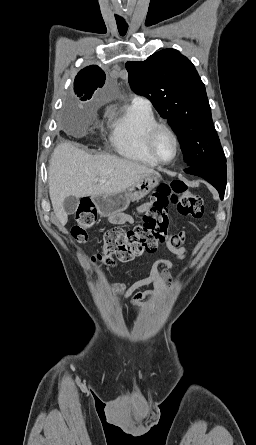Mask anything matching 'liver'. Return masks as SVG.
I'll list each match as a JSON object with an SVG mask.
<instances>
[{
    "label": "liver",
    "instance_id": "obj_1",
    "mask_svg": "<svg viewBox=\"0 0 256 445\" xmlns=\"http://www.w3.org/2000/svg\"><path fill=\"white\" fill-rule=\"evenodd\" d=\"M48 175L54 213L60 223L65 225L68 218L63 201L66 197L116 194L124 192L145 177L159 174L144 165L116 156L88 154L65 142L54 149Z\"/></svg>",
    "mask_w": 256,
    "mask_h": 445
}]
</instances>
